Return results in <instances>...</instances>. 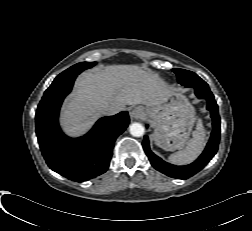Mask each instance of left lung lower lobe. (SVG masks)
Returning a JSON list of instances; mask_svg holds the SVG:
<instances>
[{
    "label": "left lung lower lobe",
    "instance_id": "1",
    "mask_svg": "<svg viewBox=\"0 0 252 231\" xmlns=\"http://www.w3.org/2000/svg\"><path fill=\"white\" fill-rule=\"evenodd\" d=\"M185 86L193 87L198 98L207 100V109L211 112V118L213 120V131L211 133L210 140L200 157L192 164L186 166H175L163 161L150 150L148 136H144L142 143L144 151L152 166L169 177L178 179H187L203 169L216 154L220 140V117L218 113V106L214 99V95L208 87V84L203 81L190 83Z\"/></svg>",
    "mask_w": 252,
    "mask_h": 231
}]
</instances>
